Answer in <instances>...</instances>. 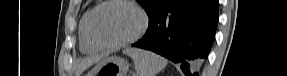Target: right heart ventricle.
I'll return each mask as SVG.
<instances>
[{
  "instance_id": "right-heart-ventricle-1",
  "label": "right heart ventricle",
  "mask_w": 287,
  "mask_h": 76,
  "mask_svg": "<svg viewBox=\"0 0 287 76\" xmlns=\"http://www.w3.org/2000/svg\"><path fill=\"white\" fill-rule=\"evenodd\" d=\"M93 9L94 7L83 14L79 25L80 50L86 54H93L101 49L93 43L88 34V18Z\"/></svg>"
}]
</instances>
